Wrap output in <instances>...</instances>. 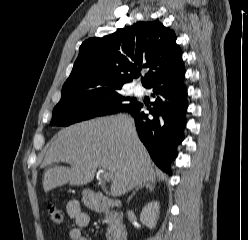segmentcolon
<instances>
[{"label": "colon", "mask_w": 248, "mask_h": 240, "mask_svg": "<svg viewBox=\"0 0 248 240\" xmlns=\"http://www.w3.org/2000/svg\"><path fill=\"white\" fill-rule=\"evenodd\" d=\"M45 216L55 225H61L64 221V213L54 205H48L45 209Z\"/></svg>", "instance_id": "5ec220e1"}]
</instances>
